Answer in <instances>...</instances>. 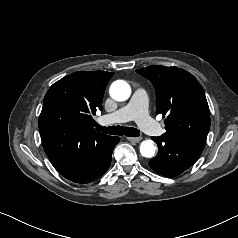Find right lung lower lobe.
Returning a JSON list of instances; mask_svg holds the SVG:
<instances>
[{
    "label": "right lung lower lobe",
    "instance_id": "right-lung-lower-lobe-1",
    "mask_svg": "<svg viewBox=\"0 0 238 238\" xmlns=\"http://www.w3.org/2000/svg\"><path fill=\"white\" fill-rule=\"evenodd\" d=\"M119 141L118 137H107L94 148L86 160L60 173L75 183L85 184L96 180L110 167L113 148Z\"/></svg>",
    "mask_w": 238,
    "mask_h": 238
}]
</instances>
